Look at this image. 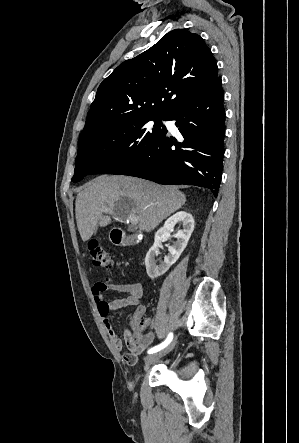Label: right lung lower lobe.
Segmentation results:
<instances>
[{
	"label": "right lung lower lobe",
	"mask_w": 299,
	"mask_h": 443,
	"mask_svg": "<svg viewBox=\"0 0 299 443\" xmlns=\"http://www.w3.org/2000/svg\"><path fill=\"white\" fill-rule=\"evenodd\" d=\"M224 93L221 78L179 105L165 117L175 121L182 138L161 139L140 159L114 172L159 184L208 188L215 197L221 183L225 135Z\"/></svg>",
	"instance_id": "1"
}]
</instances>
